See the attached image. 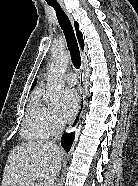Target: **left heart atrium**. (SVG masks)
<instances>
[{
	"label": "left heart atrium",
	"instance_id": "1",
	"mask_svg": "<svg viewBox=\"0 0 138 186\" xmlns=\"http://www.w3.org/2000/svg\"><path fill=\"white\" fill-rule=\"evenodd\" d=\"M79 108V97L77 92L72 88L65 89L61 94V105L59 116L61 120H70Z\"/></svg>",
	"mask_w": 138,
	"mask_h": 186
}]
</instances>
